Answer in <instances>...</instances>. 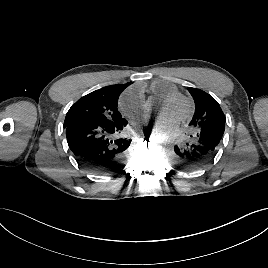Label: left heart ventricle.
Listing matches in <instances>:
<instances>
[{
  "label": "left heart ventricle",
  "instance_id": "obj_1",
  "mask_svg": "<svg viewBox=\"0 0 268 268\" xmlns=\"http://www.w3.org/2000/svg\"><path fill=\"white\" fill-rule=\"evenodd\" d=\"M185 109L184 104L181 101L165 102L160 100L156 106L158 113H168L173 115L175 118H179Z\"/></svg>",
  "mask_w": 268,
  "mask_h": 268
}]
</instances>
